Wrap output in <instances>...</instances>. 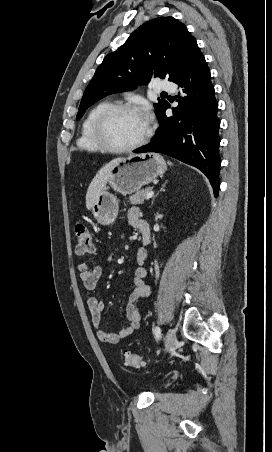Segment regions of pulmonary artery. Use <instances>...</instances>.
<instances>
[{
	"instance_id": "e3ab8cb5",
	"label": "pulmonary artery",
	"mask_w": 272,
	"mask_h": 452,
	"mask_svg": "<svg viewBox=\"0 0 272 452\" xmlns=\"http://www.w3.org/2000/svg\"><path fill=\"white\" fill-rule=\"evenodd\" d=\"M157 90L159 92H174L177 90V85L175 82L162 79L157 84Z\"/></svg>"
}]
</instances>
